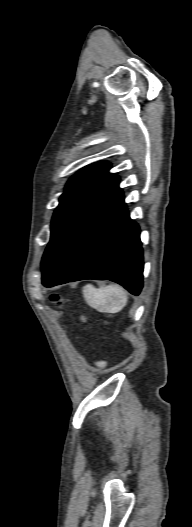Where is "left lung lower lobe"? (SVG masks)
<instances>
[{"label": "left lung lower lobe", "mask_w": 192, "mask_h": 527, "mask_svg": "<svg viewBox=\"0 0 192 527\" xmlns=\"http://www.w3.org/2000/svg\"><path fill=\"white\" fill-rule=\"evenodd\" d=\"M139 235V227L130 219L122 190L117 185L42 277L43 285L53 287L83 279H109L138 295L143 278Z\"/></svg>", "instance_id": "1"}]
</instances>
